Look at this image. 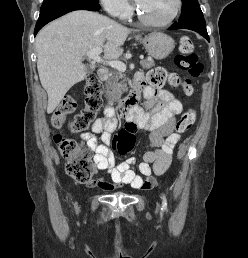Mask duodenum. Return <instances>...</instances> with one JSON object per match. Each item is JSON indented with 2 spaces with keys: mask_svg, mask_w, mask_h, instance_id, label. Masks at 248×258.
Segmentation results:
<instances>
[{
  "mask_svg": "<svg viewBox=\"0 0 248 258\" xmlns=\"http://www.w3.org/2000/svg\"><path fill=\"white\" fill-rule=\"evenodd\" d=\"M100 80L105 81L108 78V71L106 69H100L98 71ZM141 78L135 77L134 88L129 93L126 99L117 103V107L120 110V114L124 119H129L132 114L138 109V100L140 97Z\"/></svg>",
  "mask_w": 248,
  "mask_h": 258,
  "instance_id": "obj_1",
  "label": "duodenum"
}]
</instances>
